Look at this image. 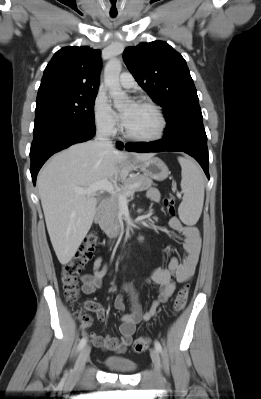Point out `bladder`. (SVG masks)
Segmentation results:
<instances>
[{"label":"bladder","mask_w":261,"mask_h":399,"mask_svg":"<svg viewBox=\"0 0 261 399\" xmlns=\"http://www.w3.org/2000/svg\"><path fill=\"white\" fill-rule=\"evenodd\" d=\"M102 363L107 369L119 373H131L137 368L134 361L113 356L103 358Z\"/></svg>","instance_id":"31cf9c89"}]
</instances>
